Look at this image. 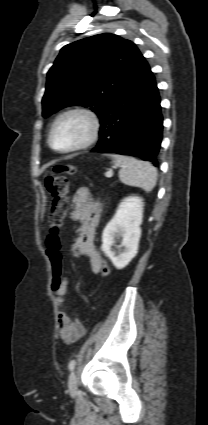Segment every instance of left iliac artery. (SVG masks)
Listing matches in <instances>:
<instances>
[{
	"label": "left iliac artery",
	"instance_id": "1",
	"mask_svg": "<svg viewBox=\"0 0 208 425\" xmlns=\"http://www.w3.org/2000/svg\"><path fill=\"white\" fill-rule=\"evenodd\" d=\"M75 364H76L75 360H71V361L69 362V364H68V368H69V370H70V371H72V370L74 369Z\"/></svg>",
	"mask_w": 208,
	"mask_h": 425
}]
</instances>
